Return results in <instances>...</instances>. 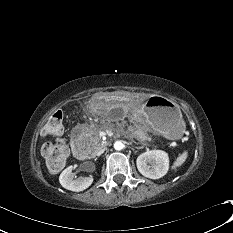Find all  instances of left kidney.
<instances>
[{
    "label": "left kidney",
    "instance_id": "obj_1",
    "mask_svg": "<svg viewBox=\"0 0 233 233\" xmlns=\"http://www.w3.org/2000/svg\"><path fill=\"white\" fill-rule=\"evenodd\" d=\"M138 171L150 179L163 177L169 169V157L162 150H148L140 154L136 161Z\"/></svg>",
    "mask_w": 233,
    "mask_h": 233
}]
</instances>
